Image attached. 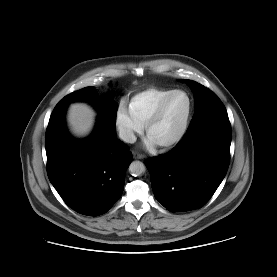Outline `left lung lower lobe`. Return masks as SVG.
I'll use <instances>...</instances> for the list:
<instances>
[{
  "mask_svg": "<svg viewBox=\"0 0 277 277\" xmlns=\"http://www.w3.org/2000/svg\"><path fill=\"white\" fill-rule=\"evenodd\" d=\"M230 144L227 112L188 128L173 150L146 162L156 199L171 212L202 207L227 173Z\"/></svg>",
  "mask_w": 277,
  "mask_h": 277,
  "instance_id": "obj_1",
  "label": "left lung lower lobe"
}]
</instances>
